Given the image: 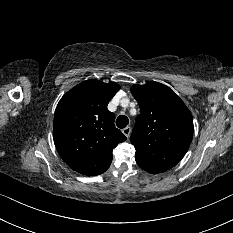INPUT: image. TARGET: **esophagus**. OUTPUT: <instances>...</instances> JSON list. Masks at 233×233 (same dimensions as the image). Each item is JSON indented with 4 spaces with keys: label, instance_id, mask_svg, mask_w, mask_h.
Returning a JSON list of instances; mask_svg holds the SVG:
<instances>
[{
    "label": "esophagus",
    "instance_id": "34e87169",
    "mask_svg": "<svg viewBox=\"0 0 233 233\" xmlns=\"http://www.w3.org/2000/svg\"><path fill=\"white\" fill-rule=\"evenodd\" d=\"M123 134L129 138L130 136V133H131V128L130 127H125L123 130H122Z\"/></svg>",
    "mask_w": 233,
    "mask_h": 233
}]
</instances>
